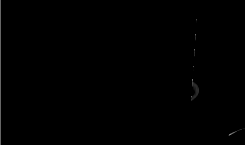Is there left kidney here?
I'll return each instance as SVG.
<instances>
[{
  "mask_svg": "<svg viewBox=\"0 0 245 145\" xmlns=\"http://www.w3.org/2000/svg\"><path fill=\"white\" fill-rule=\"evenodd\" d=\"M192 86H193V94H192L191 99H192V101H193V100L198 96L199 89H198L197 84L194 83V82H193Z\"/></svg>",
  "mask_w": 245,
  "mask_h": 145,
  "instance_id": "1",
  "label": "left kidney"
}]
</instances>
